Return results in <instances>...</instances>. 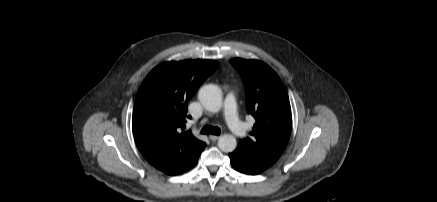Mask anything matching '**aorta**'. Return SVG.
<instances>
[{
  "instance_id": "762f6f07",
  "label": "aorta",
  "mask_w": 437,
  "mask_h": 202,
  "mask_svg": "<svg viewBox=\"0 0 437 202\" xmlns=\"http://www.w3.org/2000/svg\"><path fill=\"white\" fill-rule=\"evenodd\" d=\"M198 99L205 109L211 112H218L222 107V92L212 84L204 85L198 92ZM236 138L231 134H224L219 137L218 147L221 151L229 153L236 149Z\"/></svg>"
}]
</instances>
